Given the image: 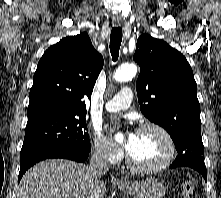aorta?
Returning a JSON list of instances; mask_svg holds the SVG:
<instances>
[{
  "mask_svg": "<svg viewBox=\"0 0 221 198\" xmlns=\"http://www.w3.org/2000/svg\"><path fill=\"white\" fill-rule=\"evenodd\" d=\"M137 74V66L134 64H125L119 67L114 73L113 78L118 82H126L134 78ZM120 134L116 135V138L120 137Z\"/></svg>",
  "mask_w": 221,
  "mask_h": 198,
  "instance_id": "aorta-1",
  "label": "aorta"
}]
</instances>
